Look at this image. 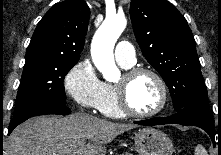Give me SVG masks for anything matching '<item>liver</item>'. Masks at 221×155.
I'll use <instances>...</instances> for the list:
<instances>
[{
    "label": "liver",
    "mask_w": 221,
    "mask_h": 155,
    "mask_svg": "<svg viewBox=\"0 0 221 155\" xmlns=\"http://www.w3.org/2000/svg\"><path fill=\"white\" fill-rule=\"evenodd\" d=\"M133 128L82 112L64 118L36 117L14 129L7 155H105V144Z\"/></svg>",
    "instance_id": "1"
}]
</instances>
